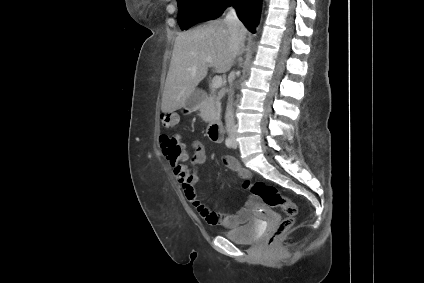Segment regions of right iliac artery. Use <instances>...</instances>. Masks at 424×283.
Returning <instances> with one entry per match:
<instances>
[{
    "mask_svg": "<svg viewBox=\"0 0 424 283\" xmlns=\"http://www.w3.org/2000/svg\"><path fill=\"white\" fill-rule=\"evenodd\" d=\"M225 144H226V146H227L228 148H231V146H232V141H231V139H230L229 137H227V138H226V140H225Z\"/></svg>",
    "mask_w": 424,
    "mask_h": 283,
    "instance_id": "82829eb1",
    "label": "right iliac artery"
}]
</instances>
